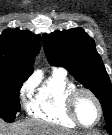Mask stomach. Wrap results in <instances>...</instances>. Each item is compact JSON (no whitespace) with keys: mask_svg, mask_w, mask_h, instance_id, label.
<instances>
[{"mask_svg":"<svg viewBox=\"0 0 112 135\" xmlns=\"http://www.w3.org/2000/svg\"><path fill=\"white\" fill-rule=\"evenodd\" d=\"M79 135H94V134L88 133V134H79Z\"/></svg>","mask_w":112,"mask_h":135,"instance_id":"obj_1","label":"stomach"}]
</instances>
